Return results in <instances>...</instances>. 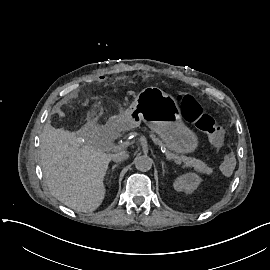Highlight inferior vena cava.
I'll return each mask as SVG.
<instances>
[{
    "mask_svg": "<svg viewBox=\"0 0 270 270\" xmlns=\"http://www.w3.org/2000/svg\"><path fill=\"white\" fill-rule=\"evenodd\" d=\"M129 157L128 153L126 151H121L119 153L112 155V160L114 162H121Z\"/></svg>",
    "mask_w": 270,
    "mask_h": 270,
    "instance_id": "obj_1",
    "label": "inferior vena cava"
}]
</instances>
